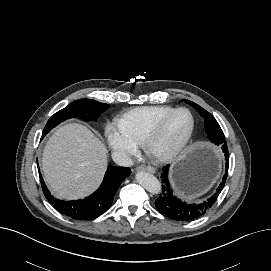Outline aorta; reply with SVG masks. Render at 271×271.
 Segmentation results:
<instances>
[{"label":"aorta","instance_id":"aorta-1","mask_svg":"<svg viewBox=\"0 0 271 271\" xmlns=\"http://www.w3.org/2000/svg\"><path fill=\"white\" fill-rule=\"evenodd\" d=\"M137 182L149 193L159 194L161 192L160 181L151 173L140 171L135 176Z\"/></svg>","mask_w":271,"mask_h":271}]
</instances>
